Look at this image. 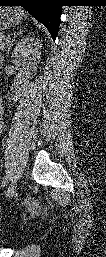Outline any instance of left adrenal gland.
<instances>
[{
  "mask_svg": "<svg viewBox=\"0 0 106 257\" xmlns=\"http://www.w3.org/2000/svg\"><path fill=\"white\" fill-rule=\"evenodd\" d=\"M22 32H23V31H19L17 34H15V35H14V39L17 37V35L22 34ZM13 41H14V40H12V43H13ZM11 45H13V44H11ZM11 45H10V47H11ZM10 47L8 48V51H7V52H9Z\"/></svg>",
  "mask_w": 106,
  "mask_h": 257,
  "instance_id": "obj_1",
  "label": "left adrenal gland"
}]
</instances>
